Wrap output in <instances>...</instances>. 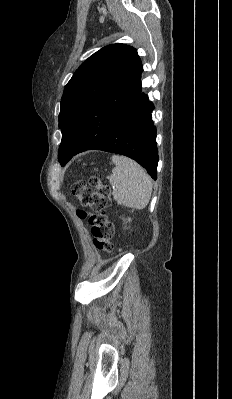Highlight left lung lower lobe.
Returning <instances> with one entry per match:
<instances>
[{
    "instance_id": "1",
    "label": "left lung lower lobe",
    "mask_w": 232,
    "mask_h": 399,
    "mask_svg": "<svg viewBox=\"0 0 232 399\" xmlns=\"http://www.w3.org/2000/svg\"><path fill=\"white\" fill-rule=\"evenodd\" d=\"M142 88L108 134L89 150H102L130 157L157 179L158 149L156 126L152 121L154 105Z\"/></svg>"
}]
</instances>
